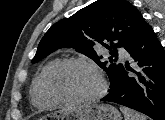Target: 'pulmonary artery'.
I'll list each match as a JSON object with an SVG mask.
<instances>
[{
  "instance_id": "e3ab8cb5",
  "label": "pulmonary artery",
  "mask_w": 165,
  "mask_h": 120,
  "mask_svg": "<svg viewBox=\"0 0 165 120\" xmlns=\"http://www.w3.org/2000/svg\"><path fill=\"white\" fill-rule=\"evenodd\" d=\"M119 54H120V56L121 57H123V58H126V57H128V54L126 53V51H124V50H119Z\"/></svg>"
}]
</instances>
